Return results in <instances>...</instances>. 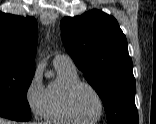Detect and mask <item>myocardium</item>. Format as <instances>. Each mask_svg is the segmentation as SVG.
Segmentation results:
<instances>
[{
    "label": "myocardium",
    "mask_w": 156,
    "mask_h": 124,
    "mask_svg": "<svg viewBox=\"0 0 156 124\" xmlns=\"http://www.w3.org/2000/svg\"><path fill=\"white\" fill-rule=\"evenodd\" d=\"M82 87H87L90 90H92L97 95V97L100 100V104H101L100 114L96 118H94L92 120L84 119L78 113V111H77V109L75 107V96H76V93ZM66 103H67V107H68L71 115L75 119H77L79 122L86 123V124L98 122L103 117V115L105 113V110H106V102H105V99H104L103 95L101 94V92L95 86H93L92 84H90V83H88L86 81H81V80L78 81V82L73 83L68 88L67 93H66Z\"/></svg>",
    "instance_id": "obj_1"
}]
</instances>
